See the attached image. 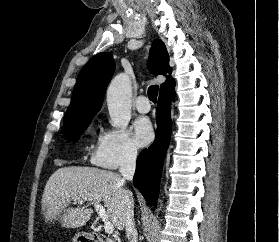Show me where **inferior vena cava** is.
I'll return each instance as SVG.
<instances>
[{
  "instance_id": "1",
  "label": "inferior vena cava",
  "mask_w": 279,
  "mask_h": 242,
  "mask_svg": "<svg viewBox=\"0 0 279 242\" xmlns=\"http://www.w3.org/2000/svg\"><path fill=\"white\" fill-rule=\"evenodd\" d=\"M136 158H137V149L130 148L127 151L119 169L124 179L132 180L135 173ZM128 193L130 196H132V193L130 191H128ZM125 227H126V236L128 241L138 242L137 239L138 233L135 226L133 208H130L127 211Z\"/></svg>"
}]
</instances>
